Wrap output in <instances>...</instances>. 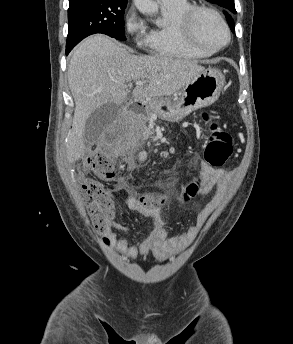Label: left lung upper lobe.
Masks as SVG:
<instances>
[{"mask_svg": "<svg viewBox=\"0 0 293 344\" xmlns=\"http://www.w3.org/2000/svg\"><path fill=\"white\" fill-rule=\"evenodd\" d=\"M211 3H215L224 9L227 21L233 33H235L234 23L231 15L236 13L234 0H207Z\"/></svg>", "mask_w": 293, "mask_h": 344, "instance_id": "left-lung-upper-lobe-1", "label": "left lung upper lobe"}]
</instances>
